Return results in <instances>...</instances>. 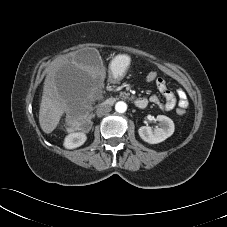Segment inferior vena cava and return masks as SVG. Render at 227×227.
<instances>
[{
	"mask_svg": "<svg viewBox=\"0 0 227 227\" xmlns=\"http://www.w3.org/2000/svg\"><path fill=\"white\" fill-rule=\"evenodd\" d=\"M112 110L111 106L105 103H102L98 106L96 114L98 117H102L108 114Z\"/></svg>",
	"mask_w": 227,
	"mask_h": 227,
	"instance_id": "1",
	"label": "inferior vena cava"
}]
</instances>
